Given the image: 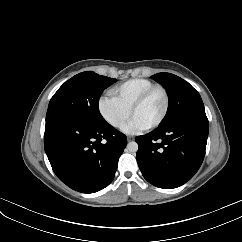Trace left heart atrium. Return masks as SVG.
Here are the masks:
<instances>
[{"mask_svg":"<svg viewBox=\"0 0 242 242\" xmlns=\"http://www.w3.org/2000/svg\"><path fill=\"white\" fill-rule=\"evenodd\" d=\"M146 129L147 126L145 124L141 123L138 119L133 117L132 120L124 127L123 130L126 133L135 134Z\"/></svg>","mask_w":242,"mask_h":242,"instance_id":"1","label":"left heart atrium"}]
</instances>
